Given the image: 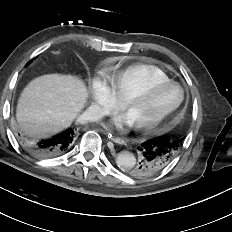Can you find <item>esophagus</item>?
I'll return each instance as SVG.
<instances>
[{"label":"esophagus","mask_w":232,"mask_h":232,"mask_svg":"<svg viewBox=\"0 0 232 232\" xmlns=\"http://www.w3.org/2000/svg\"><path fill=\"white\" fill-rule=\"evenodd\" d=\"M100 130L105 135H107L108 138H110L113 142H116V143H119V144H121L123 142V140L121 138L113 136L107 128H103V129L101 128Z\"/></svg>","instance_id":"1"}]
</instances>
